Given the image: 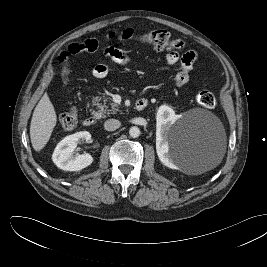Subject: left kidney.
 Wrapping results in <instances>:
<instances>
[{
  "mask_svg": "<svg viewBox=\"0 0 267 267\" xmlns=\"http://www.w3.org/2000/svg\"><path fill=\"white\" fill-rule=\"evenodd\" d=\"M179 118L180 115L175 114V111L167 105H161L157 110L156 152L161 163L170 169H178V166L170 153L169 144L166 142L164 134Z\"/></svg>",
  "mask_w": 267,
  "mask_h": 267,
  "instance_id": "obj_1",
  "label": "left kidney"
}]
</instances>
